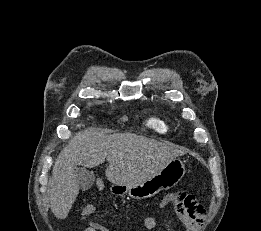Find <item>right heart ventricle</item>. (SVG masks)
Returning a JSON list of instances; mask_svg holds the SVG:
<instances>
[{
	"instance_id": "obj_1",
	"label": "right heart ventricle",
	"mask_w": 261,
	"mask_h": 231,
	"mask_svg": "<svg viewBox=\"0 0 261 231\" xmlns=\"http://www.w3.org/2000/svg\"><path fill=\"white\" fill-rule=\"evenodd\" d=\"M146 125L159 133H167L171 128L167 119L159 112L151 113L146 119Z\"/></svg>"
}]
</instances>
